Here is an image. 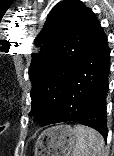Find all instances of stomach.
<instances>
[{"mask_svg":"<svg viewBox=\"0 0 114 156\" xmlns=\"http://www.w3.org/2000/svg\"><path fill=\"white\" fill-rule=\"evenodd\" d=\"M76 140V131L71 125L50 127L37 138L34 156H71Z\"/></svg>","mask_w":114,"mask_h":156,"instance_id":"obj_1","label":"stomach"}]
</instances>
